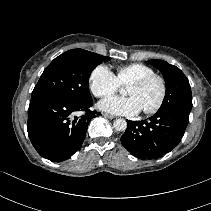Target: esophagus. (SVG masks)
I'll use <instances>...</instances> for the list:
<instances>
[{"label":"esophagus","instance_id":"1","mask_svg":"<svg viewBox=\"0 0 211 211\" xmlns=\"http://www.w3.org/2000/svg\"><path fill=\"white\" fill-rule=\"evenodd\" d=\"M103 116L106 117V118H109V119H114L115 118L113 115L108 114V113H104Z\"/></svg>","mask_w":211,"mask_h":211}]
</instances>
